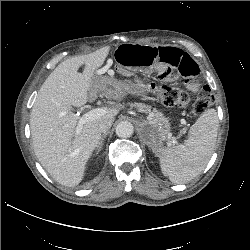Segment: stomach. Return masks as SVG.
Masks as SVG:
<instances>
[{
  "label": "stomach",
  "mask_w": 250,
  "mask_h": 250,
  "mask_svg": "<svg viewBox=\"0 0 250 250\" xmlns=\"http://www.w3.org/2000/svg\"><path fill=\"white\" fill-rule=\"evenodd\" d=\"M92 91L95 94L102 93L113 98H118L125 92L115 79L108 77L96 78Z\"/></svg>",
  "instance_id": "1"
}]
</instances>
